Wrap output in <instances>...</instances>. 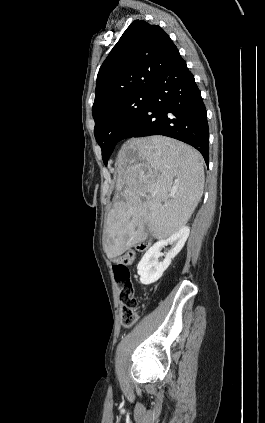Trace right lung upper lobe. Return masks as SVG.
Wrapping results in <instances>:
<instances>
[{"label": "right lung upper lobe", "instance_id": "right-lung-upper-lobe-1", "mask_svg": "<svg viewBox=\"0 0 265 423\" xmlns=\"http://www.w3.org/2000/svg\"><path fill=\"white\" fill-rule=\"evenodd\" d=\"M178 53L162 28L143 20L132 22L99 69L94 120L125 97L150 90Z\"/></svg>", "mask_w": 265, "mask_h": 423}]
</instances>
